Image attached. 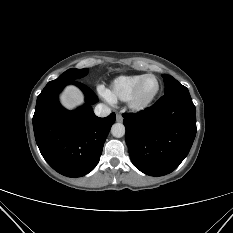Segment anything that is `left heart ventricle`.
Returning <instances> with one entry per match:
<instances>
[{"mask_svg":"<svg viewBox=\"0 0 233 233\" xmlns=\"http://www.w3.org/2000/svg\"><path fill=\"white\" fill-rule=\"evenodd\" d=\"M157 88V82L154 78H147L139 91L138 98L140 101H145L149 99L155 92Z\"/></svg>","mask_w":233,"mask_h":233,"instance_id":"1","label":"left heart ventricle"}]
</instances>
